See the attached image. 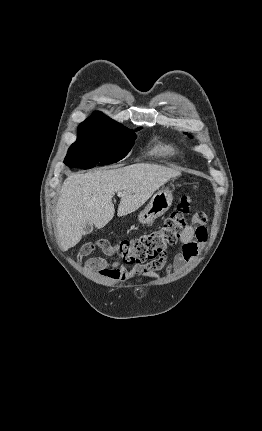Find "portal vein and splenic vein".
Listing matches in <instances>:
<instances>
[{
    "mask_svg": "<svg viewBox=\"0 0 262 431\" xmlns=\"http://www.w3.org/2000/svg\"><path fill=\"white\" fill-rule=\"evenodd\" d=\"M117 195L120 197V196H123L124 195V192H118L117 193Z\"/></svg>",
    "mask_w": 262,
    "mask_h": 431,
    "instance_id": "obj_1",
    "label": "portal vein and splenic vein"
}]
</instances>
